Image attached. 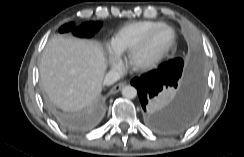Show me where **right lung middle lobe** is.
Returning a JSON list of instances; mask_svg holds the SVG:
<instances>
[{
	"label": "right lung middle lobe",
	"mask_w": 244,
	"mask_h": 157,
	"mask_svg": "<svg viewBox=\"0 0 244 157\" xmlns=\"http://www.w3.org/2000/svg\"><path fill=\"white\" fill-rule=\"evenodd\" d=\"M101 23L100 22H87L82 24L78 28H74V23H68L64 26H62L59 31L61 33L63 32H69L72 31L74 35L80 36V37H91L97 30L100 28Z\"/></svg>",
	"instance_id": "right-lung-middle-lobe-1"
}]
</instances>
